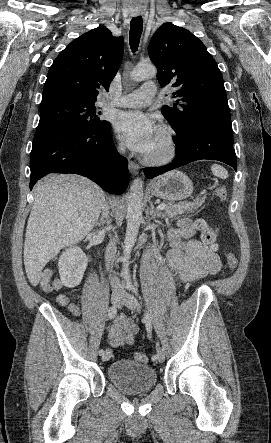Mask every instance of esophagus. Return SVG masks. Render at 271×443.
I'll return each mask as SVG.
<instances>
[{"instance_id":"1","label":"esophagus","mask_w":271,"mask_h":443,"mask_svg":"<svg viewBox=\"0 0 271 443\" xmlns=\"http://www.w3.org/2000/svg\"><path fill=\"white\" fill-rule=\"evenodd\" d=\"M128 168L132 175H137L139 173V165L132 160L128 161Z\"/></svg>"}]
</instances>
